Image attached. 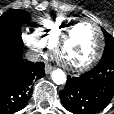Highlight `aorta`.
<instances>
[{
    "label": "aorta",
    "mask_w": 114,
    "mask_h": 114,
    "mask_svg": "<svg viewBox=\"0 0 114 114\" xmlns=\"http://www.w3.org/2000/svg\"><path fill=\"white\" fill-rule=\"evenodd\" d=\"M52 80L55 84L61 85L66 82V75L63 70L56 69L51 74Z\"/></svg>",
    "instance_id": "1"
}]
</instances>
